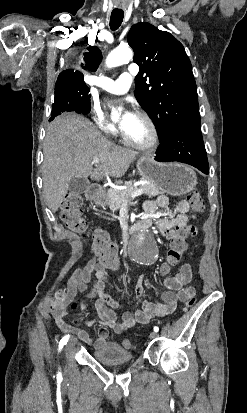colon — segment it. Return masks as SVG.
<instances>
[{
  "label": "colon",
  "instance_id": "obj_1",
  "mask_svg": "<svg viewBox=\"0 0 247 413\" xmlns=\"http://www.w3.org/2000/svg\"><path fill=\"white\" fill-rule=\"evenodd\" d=\"M187 199L192 204L194 211L200 212L203 210L204 203L199 192H190ZM82 206V201L78 196L67 195L61 205L60 218L68 230L75 231L81 234V236H85L88 222L82 216ZM177 231L180 235L174 239L173 244L167 249L165 258L168 262L162 263V268L159 269L160 275H165L166 269H169L170 265H181V263L184 262L182 255L187 251V241L186 235L183 233H185L186 228L185 226L180 225L178 226ZM88 236L91 241L89 244L90 249L94 252L98 251L100 257L103 261H106V264L110 267V271L113 274H118L122 270V265L117 262V259L115 258L116 248L108 235L97 231ZM195 302V298H187L184 310H190L195 305ZM122 344L125 348L133 347L130 340H124Z\"/></svg>",
  "mask_w": 247,
  "mask_h": 413
}]
</instances>
